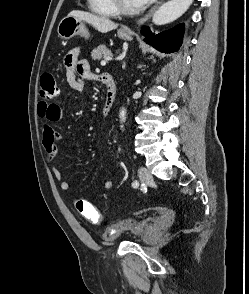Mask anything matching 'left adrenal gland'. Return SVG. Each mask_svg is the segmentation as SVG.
<instances>
[{
  "label": "left adrenal gland",
  "instance_id": "1",
  "mask_svg": "<svg viewBox=\"0 0 249 294\" xmlns=\"http://www.w3.org/2000/svg\"><path fill=\"white\" fill-rule=\"evenodd\" d=\"M125 66H126V64H125V62H123V66H122V68L124 69V68H125Z\"/></svg>",
  "mask_w": 249,
  "mask_h": 294
}]
</instances>
